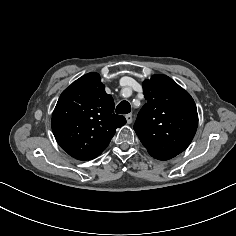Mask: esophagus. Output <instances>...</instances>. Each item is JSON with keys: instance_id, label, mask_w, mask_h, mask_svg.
Instances as JSON below:
<instances>
[{"instance_id": "1", "label": "esophagus", "mask_w": 236, "mask_h": 236, "mask_svg": "<svg viewBox=\"0 0 236 236\" xmlns=\"http://www.w3.org/2000/svg\"><path fill=\"white\" fill-rule=\"evenodd\" d=\"M125 118H126V121H127L128 124L132 123V114L131 113L127 114L125 116Z\"/></svg>"}]
</instances>
